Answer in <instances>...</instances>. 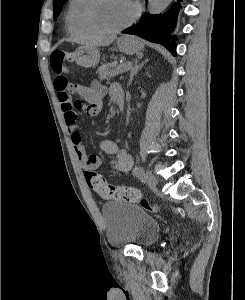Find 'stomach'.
<instances>
[{
	"instance_id": "0dacf381",
	"label": "stomach",
	"mask_w": 245,
	"mask_h": 300,
	"mask_svg": "<svg viewBox=\"0 0 245 300\" xmlns=\"http://www.w3.org/2000/svg\"><path fill=\"white\" fill-rule=\"evenodd\" d=\"M118 49L125 54H134L144 48L143 42L137 37L122 36L117 40ZM75 61L82 67H94L99 63L100 52L96 47H80L75 52Z\"/></svg>"
}]
</instances>
